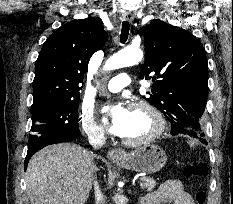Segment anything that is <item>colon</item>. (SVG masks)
Listing matches in <instances>:
<instances>
[{
	"mask_svg": "<svg viewBox=\"0 0 233 204\" xmlns=\"http://www.w3.org/2000/svg\"><path fill=\"white\" fill-rule=\"evenodd\" d=\"M208 167L203 161H195L187 164L183 169V175L186 178L207 176ZM207 198V192L205 188H201L195 195L196 204H205Z\"/></svg>",
	"mask_w": 233,
	"mask_h": 204,
	"instance_id": "obj_1",
	"label": "colon"
}]
</instances>
